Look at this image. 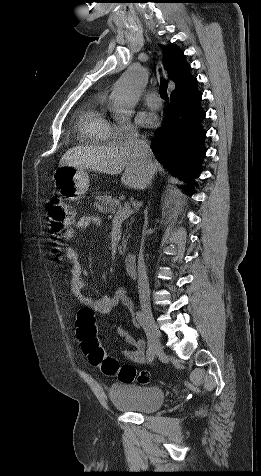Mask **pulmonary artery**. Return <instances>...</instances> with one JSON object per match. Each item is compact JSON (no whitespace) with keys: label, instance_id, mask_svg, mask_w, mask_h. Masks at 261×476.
<instances>
[{"label":"pulmonary artery","instance_id":"e3ab8cb5","mask_svg":"<svg viewBox=\"0 0 261 476\" xmlns=\"http://www.w3.org/2000/svg\"><path fill=\"white\" fill-rule=\"evenodd\" d=\"M146 104L152 109H158L161 106L160 99L155 92H151L145 97Z\"/></svg>","mask_w":261,"mask_h":476}]
</instances>
